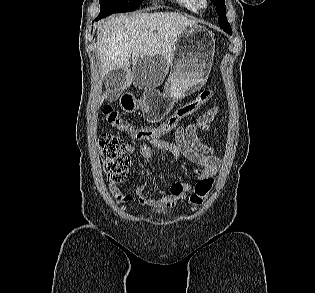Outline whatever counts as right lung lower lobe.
<instances>
[{
    "instance_id": "right-lung-lower-lobe-1",
    "label": "right lung lower lobe",
    "mask_w": 315,
    "mask_h": 293,
    "mask_svg": "<svg viewBox=\"0 0 315 293\" xmlns=\"http://www.w3.org/2000/svg\"><path fill=\"white\" fill-rule=\"evenodd\" d=\"M108 15H110V14H99V16L96 18V21L101 19V18H104V17H106Z\"/></svg>"
}]
</instances>
